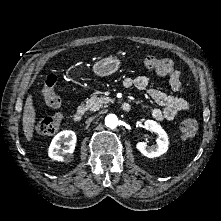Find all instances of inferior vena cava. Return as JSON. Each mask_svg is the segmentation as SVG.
<instances>
[{"label": "inferior vena cava", "mask_w": 221, "mask_h": 221, "mask_svg": "<svg viewBox=\"0 0 221 221\" xmlns=\"http://www.w3.org/2000/svg\"><path fill=\"white\" fill-rule=\"evenodd\" d=\"M95 117H90L89 119H87L86 123H90Z\"/></svg>", "instance_id": "inferior-vena-cava-1"}]
</instances>
